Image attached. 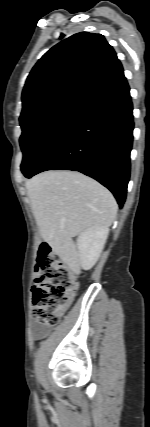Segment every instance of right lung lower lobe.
Segmentation results:
<instances>
[{"label": "right lung lower lobe", "instance_id": "1", "mask_svg": "<svg viewBox=\"0 0 150 427\" xmlns=\"http://www.w3.org/2000/svg\"><path fill=\"white\" fill-rule=\"evenodd\" d=\"M129 90L123 76L81 104L27 178L46 170L79 171L107 187L122 207L134 128Z\"/></svg>", "mask_w": 150, "mask_h": 427}]
</instances>
